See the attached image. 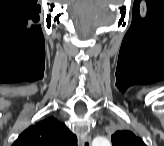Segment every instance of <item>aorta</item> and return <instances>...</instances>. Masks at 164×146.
<instances>
[{
	"instance_id": "obj_1",
	"label": "aorta",
	"mask_w": 164,
	"mask_h": 146,
	"mask_svg": "<svg viewBox=\"0 0 164 146\" xmlns=\"http://www.w3.org/2000/svg\"><path fill=\"white\" fill-rule=\"evenodd\" d=\"M111 142L104 137H97L93 140L92 146H110Z\"/></svg>"
}]
</instances>
